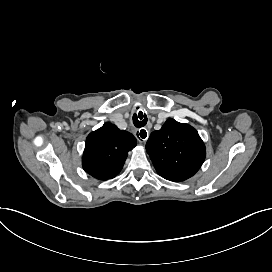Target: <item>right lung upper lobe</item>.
I'll return each instance as SVG.
<instances>
[{
  "label": "right lung upper lobe",
  "instance_id": "obj_1",
  "mask_svg": "<svg viewBox=\"0 0 272 272\" xmlns=\"http://www.w3.org/2000/svg\"><path fill=\"white\" fill-rule=\"evenodd\" d=\"M136 138L111 123L90 133L82 157L83 169L99 180L114 178L121 171Z\"/></svg>",
  "mask_w": 272,
  "mask_h": 272
}]
</instances>
